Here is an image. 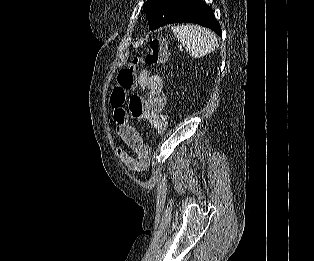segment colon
Segmentation results:
<instances>
[{
  "instance_id": "1",
  "label": "colon",
  "mask_w": 314,
  "mask_h": 261,
  "mask_svg": "<svg viewBox=\"0 0 314 261\" xmlns=\"http://www.w3.org/2000/svg\"><path fill=\"white\" fill-rule=\"evenodd\" d=\"M166 57V41L161 38L153 39L150 42L148 52L144 57L136 56L128 66L120 69L116 77V84L112 91V102L120 103L126 101L128 93L135 85V68L137 65L144 63L147 66H155L164 62ZM167 126V117L163 115L156 127L157 135L162 136L165 133Z\"/></svg>"
}]
</instances>
